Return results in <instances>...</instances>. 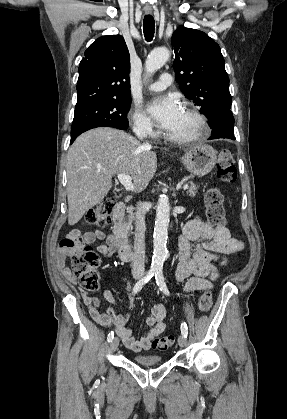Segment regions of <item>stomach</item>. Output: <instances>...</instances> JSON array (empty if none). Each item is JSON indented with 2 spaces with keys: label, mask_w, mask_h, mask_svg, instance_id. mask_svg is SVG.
<instances>
[{
  "label": "stomach",
  "mask_w": 287,
  "mask_h": 419,
  "mask_svg": "<svg viewBox=\"0 0 287 419\" xmlns=\"http://www.w3.org/2000/svg\"><path fill=\"white\" fill-rule=\"evenodd\" d=\"M180 160L190 173L202 177L214 168L217 153L211 146L200 144L188 149Z\"/></svg>",
  "instance_id": "1"
}]
</instances>
